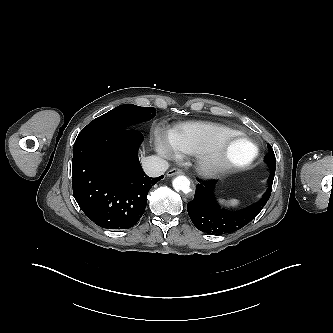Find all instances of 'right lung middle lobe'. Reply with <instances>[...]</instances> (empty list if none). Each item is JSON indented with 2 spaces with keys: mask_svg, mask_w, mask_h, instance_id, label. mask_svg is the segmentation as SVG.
Here are the masks:
<instances>
[{
  "mask_svg": "<svg viewBox=\"0 0 333 333\" xmlns=\"http://www.w3.org/2000/svg\"><path fill=\"white\" fill-rule=\"evenodd\" d=\"M155 115L156 109L154 107L124 104L92 120L86 127H118L128 129L130 125L148 121Z\"/></svg>",
  "mask_w": 333,
  "mask_h": 333,
  "instance_id": "obj_1",
  "label": "right lung middle lobe"
}]
</instances>
